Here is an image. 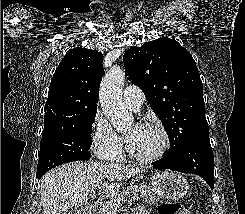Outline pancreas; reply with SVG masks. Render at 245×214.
<instances>
[{
	"label": "pancreas",
	"instance_id": "cf45deb5",
	"mask_svg": "<svg viewBox=\"0 0 245 214\" xmlns=\"http://www.w3.org/2000/svg\"><path fill=\"white\" fill-rule=\"evenodd\" d=\"M129 194L134 195L135 198L140 197L149 204H156V202L160 201V198L156 197L153 190L146 185L138 186L132 184L125 187L109 201H106L103 205L101 214H114L113 211L119 208L121 202H123L125 197H127Z\"/></svg>",
	"mask_w": 245,
	"mask_h": 214
}]
</instances>
